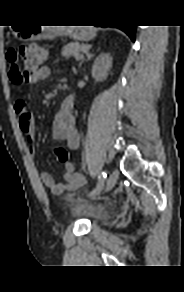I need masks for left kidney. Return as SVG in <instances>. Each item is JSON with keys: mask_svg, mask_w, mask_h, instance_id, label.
Instances as JSON below:
<instances>
[{"mask_svg": "<svg viewBox=\"0 0 184 292\" xmlns=\"http://www.w3.org/2000/svg\"><path fill=\"white\" fill-rule=\"evenodd\" d=\"M112 67V58L110 54L99 55L92 66L91 74L96 81H103L107 78Z\"/></svg>", "mask_w": 184, "mask_h": 292, "instance_id": "5707ae66", "label": "left kidney"}]
</instances>
